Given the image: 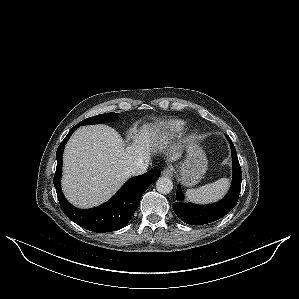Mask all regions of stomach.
I'll use <instances>...</instances> for the list:
<instances>
[{"label":"stomach","instance_id":"0dacf381","mask_svg":"<svg viewBox=\"0 0 299 299\" xmlns=\"http://www.w3.org/2000/svg\"><path fill=\"white\" fill-rule=\"evenodd\" d=\"M208 169V161L204 151L197 144H189L187 156L179 168L180 180L186 187L196 185Z\"/></svg>","mask_w":299,"mask_h":299}]
</instances>
